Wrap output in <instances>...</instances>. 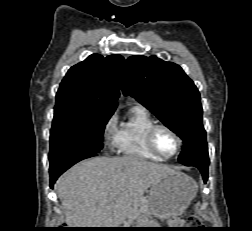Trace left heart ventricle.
Listing matches in <instances>:
<instances>
[{
    "label": "left heart ventricle",
    "instance_id": "left-heart-ventricle-1",
    "mask_svg": "<svg viewBox=\"0 0 252 231\" xmlns=\"http://www.w3.org/2000/svg\"><path fill=\"white\" fill-rule=\"evenodd\" d=\"M155 144L164 156L172 155L177 149L176 139L166 130L160 129L155 135Z\"/></svg>",
    "mask_w": 252,
    "mask_h": 231
}]
</instances>
